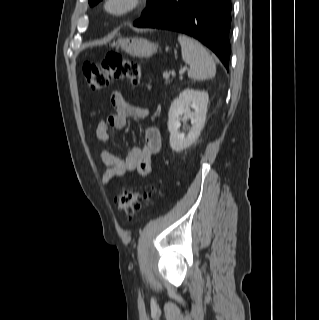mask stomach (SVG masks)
I'll return each instance as SVG.
<instances>
[{
    "label": "stomach",
    "instance_id": "1",
    "mask_svg": "<svg viewBox=\"0 0 319 320\" xmlns=\"http://www.w3.org/2000/svg\"><path fill=\"white\" fill-rule=\"evenodd\" d=\"M118 47L133 57H150L158 50V46L144 38L123 37L117 41Z\"/></svg>",
    "mask_w": 319,
    "mask_h": 320
}]
</instances>
